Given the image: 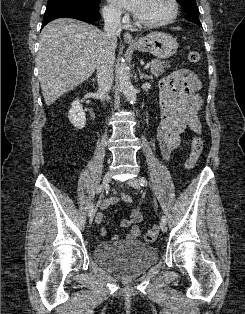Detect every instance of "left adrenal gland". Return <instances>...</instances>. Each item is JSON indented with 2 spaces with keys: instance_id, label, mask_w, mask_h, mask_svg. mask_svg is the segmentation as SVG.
<instances>
[{
  "instance_id": "a2214340",
  "label": "left adrenal gland",
  "mask_w": 245,
  "mask_h": 314,
  "mask_svg": "<svg viewBox=\"0 0 245 314\" xmlns=\"http://www.w3.org/2000/svg\"><path fill=\"white\" fill-rule=\"evenodd\" d=\"M139 70V74H140V77H141V79H146V80H150L152 77L151 76H148V75H144V74H141V70L140 69H138Z\"/></svg>"
}]
</instances>
